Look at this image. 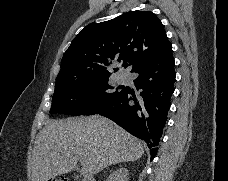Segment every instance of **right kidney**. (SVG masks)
<instances>
[{"label": "right kidney", "instance_id": "obj_1", "mask_svg": "<svg viewBox=\"0 0 228 181\" xmlns=\"http://www.w3.org/2000/svg\"><path fill=\"white\" fill-rule=\"evenodd\" d=\"M129 171L127 169H118V171H114L110 177H108L107 181H128Z\"/></svg>", "mask_w": 228, "mask_h": 181}]
</instances>
